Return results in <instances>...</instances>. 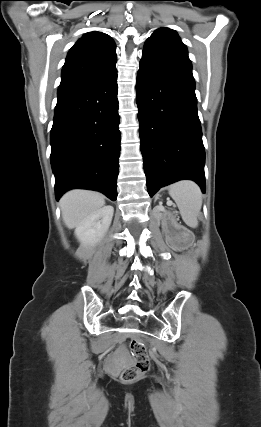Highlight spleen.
<instances>
[{
    "mask_svg": "<svg viewBox=\"0 0 261 427\" xmlns=\"http://www.w3.org/2000/svg\"><path fill=\"white\" fill-rule=\"evenodd\" d=\"M169 194L176 202L185 224L196 228L202 207V194L199 186L193 181H180L169 187Z\"/></svg>",
    "mask_w": 261,
    "mask_h": 427,
    "instance_id": "spleen-1",
    "label": "spleen"
}]
</instances>
